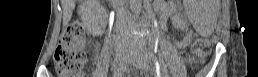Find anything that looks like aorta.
I'll return each mask as SVG.
<instances>
[{
    "instance_id": "762f6f07",
    "label": "aorta",
    "mask_w": 258,
    "mask_h": 77,
    "mask_svg": "<svg viewBox=\"0 0 258 77\" xmlns=\"http://www.w3.org/2000/svg\"><path fill=\"white\" fill-rule=\"evenodd\" d=\"M132 11L138 15L141 11V0H130Z\"/></svg>"
}]
</instances>
